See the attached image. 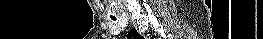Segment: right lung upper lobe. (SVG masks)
Wrapping results in <instances>:
<instances>
[{"instance_id":"obj_1","label":"right lung upper lobe","mask_w":263,"mask_h":39,"mask_svg":"<svg viewBox=\"0 0 263 39\" xmlns=\"http://www.w3.org/2000/svg\"><path fill=\"white\" fill-rule=\"evenodd\" d=\"M129 35H131L134 39H137V38L141 37L140 34L136 30H133V31L131 30L129 32Z\"/></svg>"}]
</instances>
